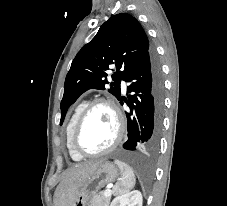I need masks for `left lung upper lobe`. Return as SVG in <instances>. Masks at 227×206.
<instances>
[{
    "instance_id": "obj_1",
    "label": "left lung upper lobe",
    "mask_w": 227,
    "mask_h": 206,
    "mask_svg": "<svg viewBox=\"0 0 227 206\" xmlns=\"http://www.w3.org/2000/svg\"><path fill=\"white\" fill-rule=\"evenodd\" d=\"M151 51L140 23L131 15L120 13L102 24L95 37L77 53L66 76L61 101L62 125L71 104L86 90H105L106 70L115 65L114 82L108 90L120 97V82Z\"/></svg>"
}]
</instances>
